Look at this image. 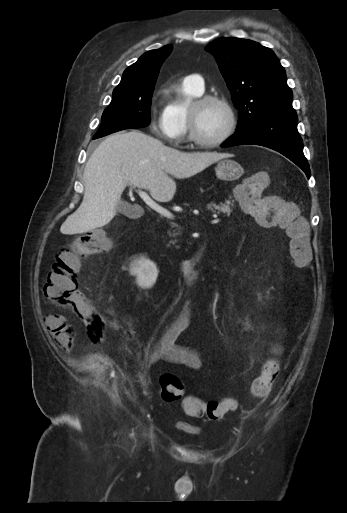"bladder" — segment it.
I'll list each match as a JSON object with an SVG mask.
<instances>
[{
	"label": "bladder",
	"instance_id": "1",
	"mask_svg": "<svg viewBox=\"0 0 347 513\" xmlns=\"http://www.w3.org/2000/svg\"><path fill=\"white\" fill-rule=\"evenodd\" d=\"M177 427L184 432L191 433V434H198V429L194 428L187 422H178Z\"/></svg>",
	"mask_w": 347,
	"mask_h": 513
}]
</instances>
